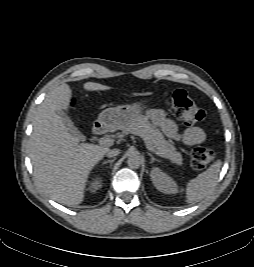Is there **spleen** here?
<instances>
[{
	"label": "spleen",
	"instance_id": "obj_1",
	"mask_svg": "<svg viewBox=\"0 0 254 267\" xmlns=\"http://www.w3.org/2000/svg\"><path fill=\"white\" fill-rule=\"evenodd\" d=\"M221 165L220 160L216 161L206 171L187 183L186 201L188 203L202 200L215 188Z\"/></svg>",
	"mask_w": 254,
	"mask_h": 267
}]
</instances>
